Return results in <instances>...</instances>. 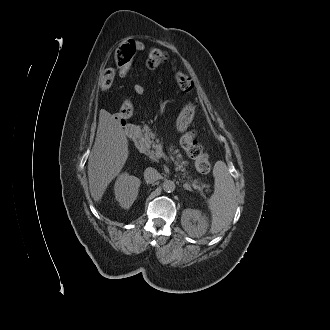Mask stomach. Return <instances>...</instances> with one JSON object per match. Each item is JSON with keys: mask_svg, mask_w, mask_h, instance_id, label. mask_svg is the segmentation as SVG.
Returning a JSON list of instances; mask_svg holds the SVG:
<instances>
[{"mask_svg": "<svg viewBox=\"0 0 330 330\" xmlns=\"http://www.w3.org/2000/svg\"><path fill=\"white\" fill-rule=\"evenodd\" d=\"M195 114V106L191 103L186 104L178 116L177 119V130L184 133L189 124L192 122Z\"/></svg>", "mask_w": 330, "mask_h": 330, "instance_id": "stomach-1", "label": "stomach"}]
</instances>
